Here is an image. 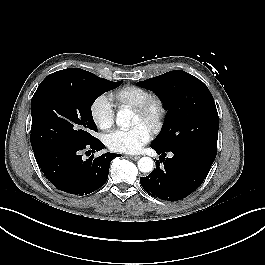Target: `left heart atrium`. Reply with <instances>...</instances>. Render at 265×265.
<instances>
[{"mask_svg":"<svg viewBox=\"0 0 265 265\" xmlns=\"http://www.w3.org/2000/svg\"><path fill=\"white\" fill-rule=\"evenodd\" d=\"M151 132L147 125L141 123L129 130H115L105 137L107 147L114 152L133 154L149 142Z\"/></svg>","mask_w":265,"mask_h":265,"instance_id":"1","label":"left heart atrium"}]
</instances>
